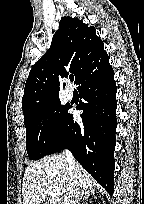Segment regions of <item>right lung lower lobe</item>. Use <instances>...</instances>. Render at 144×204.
I'll list each match as a JSON object with an SVG mask.
<instances>
[{
    "instance_id": "obj_1",
    "label": "right lung lower lobe",
    "mask_w": 144,
    "mask_h": 204,
    "mask_svg": "<svg viewBox=\"0 0 144 204\" xmlns=\"http://www.w3.org/2000/svg\"><path fill=\"white\" fill-rule=\"evenodd\" d=\"M83 98L82 124L68 114L61 134L49 154L68 148L76 160L112 196L114 192V149L116 119V84L109 59L86 75L78 86Z\"/></svg>"
}]
</instances>
